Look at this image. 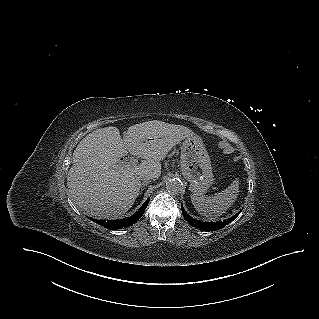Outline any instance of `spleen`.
<instances>
[{"mask_svg":"<svg viewBox=\"0 0 319 319\" xmlns=\"http://www.w3.org/2000/svg\"><path fill=\"white\" fill-rule=\"evenodd\" d=\"M238 192L239 180L236 179L225 190L212 196L206 197L193 193L191 201L198 213L209 219H216L234 204Z\"/></svg>","mask_w":319,"mask_h":319,"instance_id":"obj_1","label":"spleen"}]
</instances>
